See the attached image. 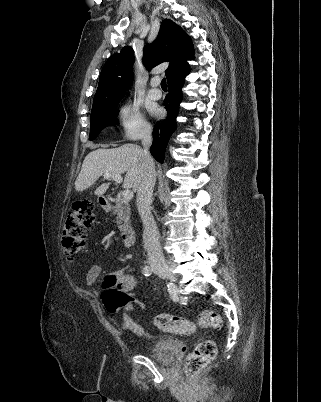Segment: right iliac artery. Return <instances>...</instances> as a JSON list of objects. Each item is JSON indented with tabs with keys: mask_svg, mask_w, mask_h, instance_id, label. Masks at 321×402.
<instances>
[{
	"mask_svg": "<svg viewBox=\"0 0 321 402\" xmlns=\"http://www.w3.org/2000/svg\"><path fill=\"white\" fill-rule=\"evenodd\" d=\"M143 274H144L145 276H150V275L152 274V269H151L149 266H145V267L143 268Z\"/></svg>",
	"mask_w": 321,
	"mask_h": 402,
	"instance_id": "obj_1",
	"label": "right iliac artery"
}]
</instances>
